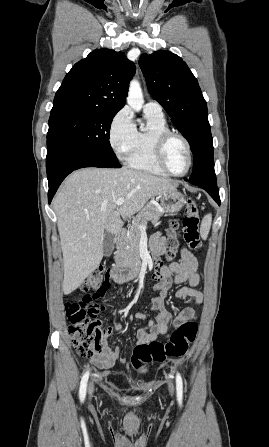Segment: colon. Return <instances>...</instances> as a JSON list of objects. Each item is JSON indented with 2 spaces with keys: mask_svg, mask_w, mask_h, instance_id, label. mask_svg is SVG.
<instances>
[{
  "mask_svg": "<svg viewBox=\"0 0 269 447\" xmlns=\"http://www.w3.org/2000/svg\"><path fill=\"white\" fill-rule=\"evenodd\" d=\"M186 216L180 224L173 221L167 232L168 258L172 259L178 253L183 238L192 249H199L201 237L199 231L200 209L196 202L188 200L185 203ZM106 273H94L87 277L81 290L84 297L78 303H67L65 313L69 319V334L72 343L81 356H92L103 349V339L111 338L110 325L97 320L104 310L98 297L109 290ZM197 325L186 321L175 326L170 333L169 341L138 345L133 349L131 364L142 376L149 374L148 362H163L167 358H181L188 350L189 344L195 340Z\"/></svg>",
  "mask_w": 269,
  "mask_h": 447,
  "instance_id": "5ec220e1",
  "label": "colon"
}]
</instances>
